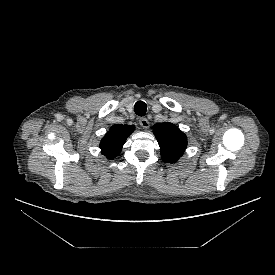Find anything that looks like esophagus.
I'll return each instance as SVG.
<instances>
[{"label": "esophagus", "mask_w": 275, "mask_h": 275, "mask_svg": "<svg viewBox=\"0 0 275 275\" xmlns=\"http://www.w3.org/2000/svg\"><path fill=\"white\" fill-rule=\"evenodd\" d=\"M139 124L141 125V127H143L144 129H148L150 126L149 121L146 118H140L139 119Z\"/></svg>", "instance_id": "obj_1"}]
</instances>
